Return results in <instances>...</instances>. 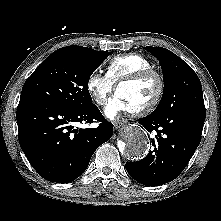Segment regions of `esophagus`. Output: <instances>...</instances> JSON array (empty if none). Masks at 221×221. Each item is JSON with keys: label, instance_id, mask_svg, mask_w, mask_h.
Listing matches in <instances>:
<instances>
[{"label": "esophagus", "instance_id": "esophagus-1", "mask_svg": "<svg viewBox=\"0 0 221 221\" xmlns=\"http://www.w3.org/2000/svg\"><path fill=\"white\" fill-rule=\"evenodd\" d=\"M113 125H114V128H115V129H119V128H121V127L123 126V122L117 120V121H114V122H113Z\"/></svg>", "mask_w": 221, "mask_h": 221}]
</instances>
